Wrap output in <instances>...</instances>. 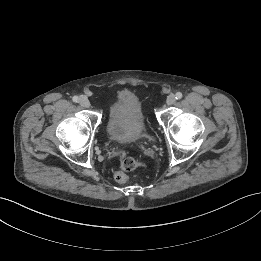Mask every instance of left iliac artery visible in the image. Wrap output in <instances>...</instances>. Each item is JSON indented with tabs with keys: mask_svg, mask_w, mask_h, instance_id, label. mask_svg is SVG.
I'll use <instances>...</instances> for the list:
<instances>
[{
	"mask_svg": "<svg viewBox=\"0 0 261 261\" xmlns=\"http://www.w3.org/2000/svg\"><path fill=\"white\" fill-rule=\"evenodd\" d=\"M175 96H176V99L179 100L182 98L183 95L181 92H177Z\"/></svg>",
	"mask_w": 261,
	"mask_h": 261,
	"instance_id": "1",
	"label": "left iliac artery"
}]
</instances>
